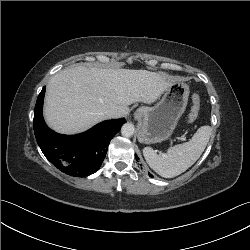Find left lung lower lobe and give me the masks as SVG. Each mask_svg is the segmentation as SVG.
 <instances>
[{
  "mask_svg": "<svg viewBox=\"0 0 250 250\" xmlns=\"http://www.w3.org/2000/svg\"><path fill=\"white\" fill-rule=\"evenodd\" d=\"M136 159H139V158H138V157H136ZM149 176H150V177H153L150 173H149Z\"/></svg>",
  "mask_w": 250,
  "mask_h": 250,
  "instance_id": "left-lung-lower-lobe-1",
  "label": "left lung lower lobe"
}]
</instances>
